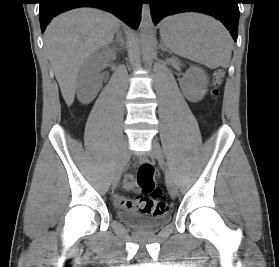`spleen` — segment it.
I'll use <instances>...</instances> for the list:
<instances>
[{"mask_svg": "<svg viewBox=\"0 0 279 267\" xmlns=\"http://www.w3.org/2000/svg\"><path fill=\"white\" fill-rule=\"evenodd\" d=\"M161 38L175 54L208 67L227 68L232 54V39L213 17L182 13L168 18L161 27Z\"/></svg>", "mask_w": 279, "mask_h": 267, "instance_id": "obj_1", "label": "spleen"}]
</instances>
